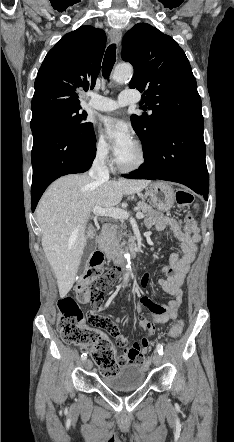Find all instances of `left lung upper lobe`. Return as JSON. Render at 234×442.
<instances>
[{
	"mask_svg": "<svg viewBox=\"0 0 234 442\" xmlns=\"http://www.w3.org/2000/svg\"><path fill=\"white\" fill-rule=\"evenodd\" d=\"M122 59L134 67L129 83L143 93V110L132 126L148 155L158 133L171 122L202 114L201 99L190 63L178 43L149 24L138 23L123 39Z\"/></svg>",
	"mask_w": 234,
	"mask_h": 442,
	"instance_id": "obj_1",
	"label": "left lung upper lobe"
}]
</instances>
